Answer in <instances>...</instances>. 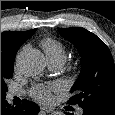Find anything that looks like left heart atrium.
Segmentation results:
<instances>
[{"label": "left heart atrium", "mask_w": 115, "mask_h": 115, "mask_svg": "<svg viewBox=\"0 0 115 115\" xmlns=\"http://www.w3.org/2000/svg\"><path fill=\"white\" fill-rule=\"evenodd\" d=\"M61 89L62 85L60 83L36 84L31 88L30 94L36 100L48 103L52 100V93Z\"/></svg>", "instance_id": "left-heart-atrium-1"}]
</instances>
